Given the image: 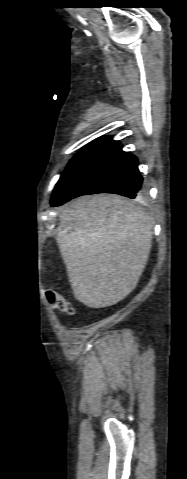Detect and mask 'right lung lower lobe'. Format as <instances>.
I'll use <instances>...</instances> for the list:
<instances>
[{
	"instance_id": "obj_1",
	"label": "right lung lower lobe",
	"mask_w": 187,
	"mask_h": 479,
	"mask_svg": "<svg viewBox=\"0 0 187 479\" xmlns=\"http://www.w3.org/2000/svg\"><path fill=\"white\" fill-rule=\"evenodd\" d=\"M137 165V158L118 146L74 180L51 205L60 206L72 198L96 193L140 197L144 192L143 177Z\"/></svg>"
}]
</instances>
